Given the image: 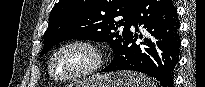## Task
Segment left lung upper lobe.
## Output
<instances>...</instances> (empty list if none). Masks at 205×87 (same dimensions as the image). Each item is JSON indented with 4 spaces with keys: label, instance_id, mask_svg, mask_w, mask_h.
I'll return each mask as SVG.
<instances>
[{
    "label": "left lung upper lobe",
    "instance_id": "5c2ea615",
    "mask_svg": "<svg viewBox=\"0 0 205 87\" xmlns=\"http://www.w3.org/2000/svg\"><path fill=\"white\" fill-rule=\"evenodd\" d=\"M138 2L139 0H59L50 13L40 55L63 40L89 39L108 42L117 57L132 34L129 28Z\"/></svg>",
    "mask_w": 205,
    "mask_h": 87
}]
</instances>
